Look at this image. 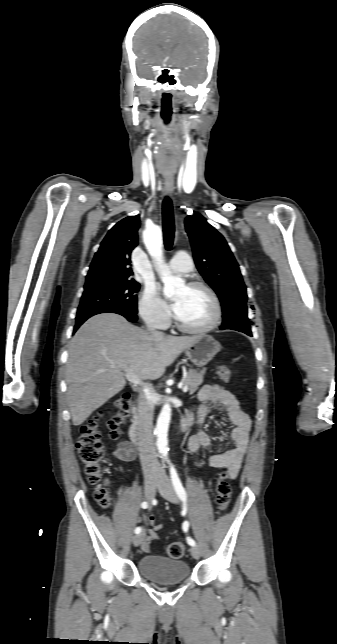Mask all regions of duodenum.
Masks as SVG:
<instances>
[{"mask_svg":"<svg viewBox=\"0 0 337 644\" xmlns=\"http://www.w3.org/2000/svg\"><path fill=\"white\" fill-rule=\"evenodd\" d=\"M132 423L129 428V438L132 445H136L139 440L140 428H141V414L137 406L132 408ZM191 425V419L189 417H184L180 422V431L183 435H186L189 427Z\"/></svg>","mask_w":337,"mask_h":644,"instance_id":"duodenum-1","label":"duodenum"}]
</instances>
